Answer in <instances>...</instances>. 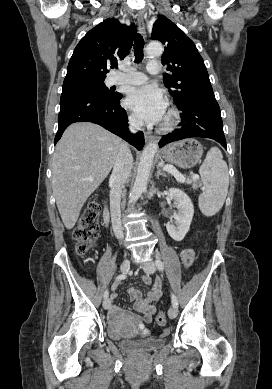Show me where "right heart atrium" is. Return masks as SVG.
Listing matches in <instances>:
<instances>
[{"instance_id":"obj_1","label":"right heart atrium","mask_w":272,"mask_h":389,"mask_svg":"<svg viewBox=\"0 0 272 389\" xmlns=\"http://www.w3.org/2000/svg\"><path fill=\"white\" fill-rule=\"evenodd\" d=\"M130 122H131L133 125H135V126L139 125L138 120H137L136 117L133 116V115L130 116Z\"/></svg>"}]
</instances>
